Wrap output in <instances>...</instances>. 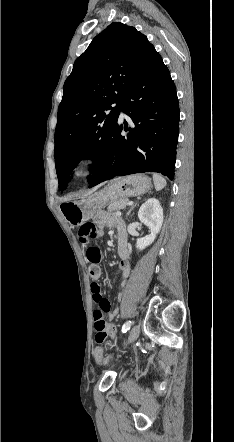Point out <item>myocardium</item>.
<instances>
[{"label": "myocardium", "mask_w": 234, "mask_h": 442, "mask_svg": "<svg viewBox=\"0 0 234 442\" xmlns=\"http://www.w3.org/2000/svg\"><path fill=\"white\" fill-rule=\"evenodd\" d=\"M98 160V154L94 151L80 153L73 159L70 165V176L76 180L87 179L94 172Z\"/></svg>", "instance_id": "obj_1"}]
</instances>
